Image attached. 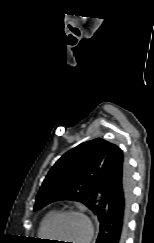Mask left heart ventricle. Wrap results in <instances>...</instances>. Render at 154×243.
Wrapping results in <instances>:
<instances>
[{
  "label": "left heart ventricle",
  "mask_w": 154,
  "mask_h": 243,
  "mask_svg": "<svg viewBox=\"0 0 154 243\" xmlns=\"http://www.w3.org/2000/svg\"><path fill=\"white\" fill-rule=\"evenodd\" d=\"M86 222L78 216H64L53 226L52 236L58 239H71L72 243H82L86 235ZM65 243L64 241H58Z\"/></svg>",
  "instance_id": "obj_1"
}]
</instances>
